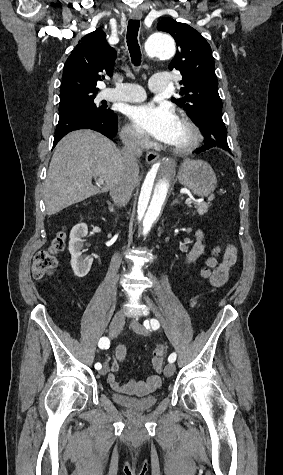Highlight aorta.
Returning a JSON list of instances; mask_svg holds the SVG:
<instances>
[{"label": "aorta", "instance_id": "762f6f07", "mask_svg": "<svg viewBox=\"0 0 283 475\" xmlns=\"http://www.w3.org/2000/svg\"><path fill=\"white\" fill-rule=\"evenodd\" d=\"M145 51L152 58L170 59L176 52L175 42L170 35L154 33L148 38ZM175 170V161L164 158L148 171L132 221L136 236L146 238L158 223L174 182Z\"/></svg>", "mask_w": 283, "mask_h": 475}]
</instances>
